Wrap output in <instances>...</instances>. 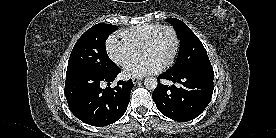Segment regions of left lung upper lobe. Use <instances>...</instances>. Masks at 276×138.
Listing matches in <instances>:
<instances>
[{
  "mask_svg": "<svg viewBox=\"0 0 276 138\" xmlns=\"http://www.w3.org/2000/svg\"><path fill=\"white\" fill-rule=\"evenodd\" d=\"M168 21L177 31L180 39V49L176 62L168 71L182 74L213 69L203 44L191 29L176 18H169Z\"/></svg>",
  "mask_w": 276,
  "mask_h": 138,
  "instance_id": "5c2ea615",
  "label": "left lung upper lobe"
}]
</instances>
